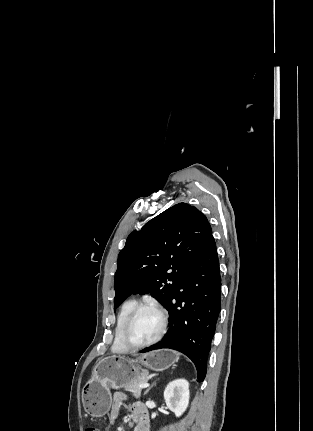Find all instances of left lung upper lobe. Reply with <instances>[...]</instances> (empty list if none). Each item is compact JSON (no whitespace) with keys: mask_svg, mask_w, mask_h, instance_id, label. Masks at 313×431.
<instances>
[{"mask_svg":"<svg viewBox=\"0 0 313 431\" xmlns=\"http://www.w3.org/2000/svg\"><path fill=\"white\" fill-rule=\"evenodd\" d=\"M212 233L196 207L178 203L132 232L118 256L114 309L131 294H147L167 308Z\"/></svg>","mask_w":313,"mask_h":431,"instance_id":"5c2ea615","label":"left lung upper lobe"}]
</instances>
